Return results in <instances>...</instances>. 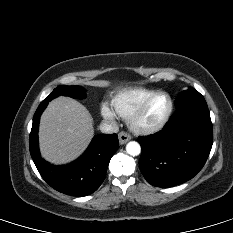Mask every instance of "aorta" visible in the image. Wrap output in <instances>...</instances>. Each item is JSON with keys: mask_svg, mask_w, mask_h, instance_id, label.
Returning a JSON list of instances; mask_svg holds the SVG:
<instances>
[{"mask_svg": "<svg viewBox=\"0 0 233 233\" xmlns=\"http://www.w3.org/2000/svg\"><path fill=\"white\" fill-rule=\"evenodd\" d=\"M126 151L131 156H137L141 152V147L139 143L131 141L126 145Z\"/></svg>", "mask_w": 233, "mask_h": 233, "instance_id": "1", "label": "aorta"}]
</instances>
